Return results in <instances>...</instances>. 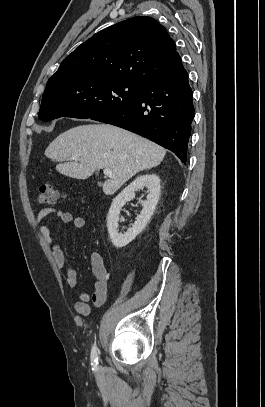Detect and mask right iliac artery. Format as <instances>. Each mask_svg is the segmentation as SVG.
Here are the masks:
<instances>
[{"mask_svg": "<svg viewBox=\"0 0 265 407\" xmlns=\"http://www.w3.org/2000/svg\"><path fill=\"white\" fill-rule=\"evenodd\" d=\"M98 353L99 350L96 345L92 347L91 351V365L93 366V370L97 369V364H98Z\"/></svg>", "mask_w": 265, "mask_h": 407, "instance_id": "obj_1", "label": "right iliac artery"}]
</instances>
